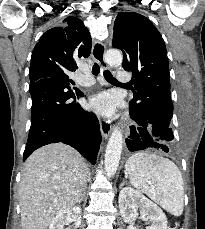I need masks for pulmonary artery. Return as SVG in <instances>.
<instances>
[{"label":"pulmonary artery","instance_id":"1","mask_svg":"<svg viewBox=\"0 0 205 229\" xmlns=\"http://www.w3.org/2000/svg\"><path fill=\"white\" fill-rule=\"evenodd\" d=\"M117 80L121 84H128L131 81V75L125 70H120L117 73ZM79 83L83 86H90L94 83V79L90 76H84L79 79Z\"/></svg>","mask_w":205,"mask_h":229}]
</instances>
